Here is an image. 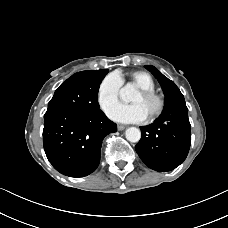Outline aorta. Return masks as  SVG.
Segmentation results:
<instances>
[{"instance_id":"1","label":"aorta","mask_w":228,"mask_h":228,"mask_svg":"<svg viewBox=\"0 0 228 228\" xmlns=\"http://www.w3.org/2000/svg\"><path fill=\"white\" fill-rule=\"evenodd\" d=\"M135 93V88L131 83H127L123 88L120 90V98L124 102H131ZM126 139L129 142L136 143L141 138V132L136 127H130L125 132Z\"/></svg>"}]
</instances>
